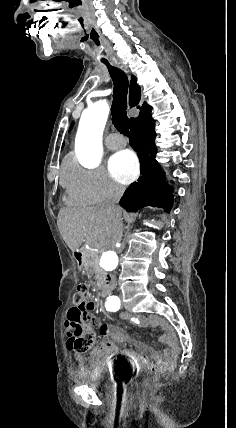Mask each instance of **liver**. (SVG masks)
<instances>
[{"label": "liver", "instance_id": "6515ba94", "mask_svg": "<svg viewBox=\"0 0 236 428\" xmlns=\"http://www.w3.org/2000/svg\"><path fill=\"white\" fill-rule=\"evenodd\" d=\"M57 224L65 244L72 252L78 250L82 242L111 250L120 244L123 236L121 218L115 216L107 206L60 210Z\"/></svg>", "mask_w": 236, "mask_h": 428}]
</instances>
